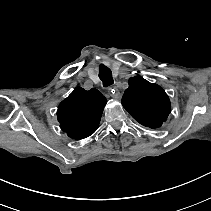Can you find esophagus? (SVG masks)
Instances as JSON below:
<instances>
[{
  "label": "esophagus",
  "mask_w": 211,
  "mask_h": 211,
  "mask_svg": "<svg viewBox=\"0 0 211 211\" xmlns=\"http://www.w3.org/2000/svg\"><path fill=\"white\" fill-rule=\"evenodd\" d=\"M108 93L113 98H116V99H120L121 98V93H120V91L116 87H114V88H108Z\"/></svg>",
  "instance_id": "34e87169"
}]
</instances>
